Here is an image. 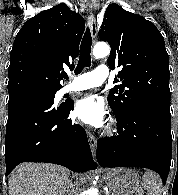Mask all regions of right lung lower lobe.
<instances>
[{
  "mask_svg": "<svg viewBox=\"0 0 178 195\" xmlns=\"http://www.w3.org/2000/svg\"><path fill=\"white\" fill-rule=\"evenodd\" d=\"M74 103L17 97L8 102L6 175L22 162L59 164L75 172L95 169L85 130L68 118Z\"/></svg>",
  "mask_w": 178,
  "mask_h": 195,
  "instance_id": "98d812e1",
  "label": "right lung lower lobe"
}]
</instances>
